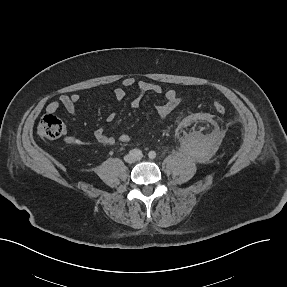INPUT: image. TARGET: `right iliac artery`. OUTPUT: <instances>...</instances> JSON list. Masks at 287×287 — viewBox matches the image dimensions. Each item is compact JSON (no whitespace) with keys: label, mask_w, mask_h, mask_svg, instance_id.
Instances as JSON below:
<instances>
[{"label":"right iliac artery","mask_w":287,"mask_h":287,"mask_svg":"<svg viewBox=\"0 0 287 287\" xmlns=\"http://www.w3.org/2000/svg\"><path fill=\"white\" fill-rule=\"evenodd\" d=\"M129 154L133 155V156H141L142 155V151L139 150V149H133V150L129 151Z\"/></svg>","instance_id":"82829eb1"}]
</instances>
